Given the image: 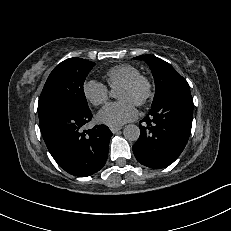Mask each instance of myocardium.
<instances>
[{
    "mask_svg": "<svg viewBox=\"0 0 231 231\" xmlns=\"http://www.w3.org/2000/svg\"><path fill=\"white\" fill-rule=\"evenodd\" d=\"M120 87L126 88H143V93L141 97L136 102L137 106L146 105L154 95V85L151 79L145 75L139 74L120 85Z\"/></svg>",
    "mask_w": 231,
    "mask_h": 231,
    "instance_id": "myocardium-1",
    "label": "myocardium"
}]
</instances>
